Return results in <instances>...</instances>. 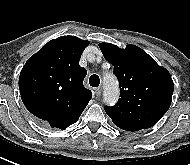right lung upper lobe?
I'll use <instances>...</instances> for the list:
<instances>
[{"instance_id": "right-lung-upper-lobe-1", "label": "right lung upper lobe", "mask_w": 190, "mask_h": 165, "mask_svg": "<svg viewBox=\"0 0 190 165\" xmlns=\"http://www.w3.org/2000/svg\"><path fill=\"white\" fill-rule=\"evenodd\" d=\"M89 41L62 36L45 44L23 66L19 78L26 108L51 127L75 123L92 98L83 86L87 71L79 60Z\"/></svg>"}]
</instances>
